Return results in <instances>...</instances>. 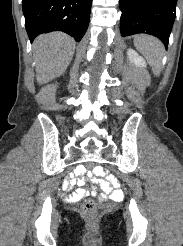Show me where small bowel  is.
<instances>
[{
  "mask_svg": "<svg viewBox=\"0 0 183 246\" xmlns=\"http://www.w3.org/2000/svg\"><path fill=\"white\" fill-rule=\"evenodd\" d=\"M92 172H94L91 173V183H94L92 191H98L101 189L103 192L102 197L109 196L113 200H117L122 197V191L115 175H106L105 179H102V175L104 173H110L109 169L105 170L104 167H92ZM85 173L86 169L83 166L76 167V176L83 175ZM76 176L72 177L71 174H68V179L65 181V184L60 185L61 189H75V185L79 186V188L69 196L73 201H77L88 194V190L83 187L84 180L82 178H77Z\"/></svg>",
  "mask_w": 183,
  "mask_h": 246,
  "instance_id": "obj_1",
  "label": "small bowel"
}]
</instances>
